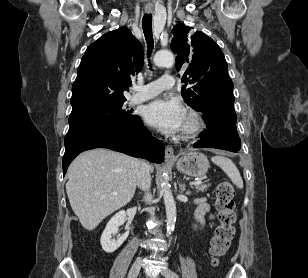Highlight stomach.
<instances>
[{
	"label": "stomach",
	"mask_w": 308,
	"mask_h": 278,
	"mask_svg": "<svg viewBox=\"0 0 308 278\" xmlns=\"http://www.w3.org/2000/svg\"><path fill=\"white\" fill-rule=\"evenodd\" d=\"M175 165L178 171L185 175L202 177L208 171L209 161L203 153L191 151L180 157Z\"/></svg>",
	"instance_id": "0dacf381"
}]
</instances>
